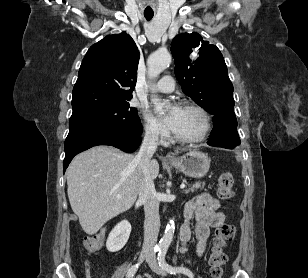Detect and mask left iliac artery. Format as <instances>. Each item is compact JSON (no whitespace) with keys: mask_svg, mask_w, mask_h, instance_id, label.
I'll use <instances>...</instances> for the list:
<instances>
[{"mask_svg":"<svg viewBox=\"0 0 308 278\" xmlns=\"http://www.w3.org/2000/svg\"><path fill=\"white\" fill-rule=\"evenodd\" d=\"M166 252H167V249L166 248H162L159 251V254H158V262H159L160 267L163 270L169 272L170 274L183 273V274L187 275L189 278H193V274H192V272L189 269L184 268V267H173V266L169 265L165 261Z\"/></svg>","mask_w":308,"mask_h":278,"instance_id":"obj_1","label":"left iliac artery"}]
</instances>
